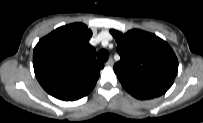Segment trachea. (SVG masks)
I'll use <instances>...</instances> for the list:
<instances>
[{
	"mask_svg": "<svg viewBox=\"0 0 203 123\" xmlns=\"http://www.w3.org/2000/svg\"><path fill=\"white\" fill-rule=\"evenodd\" d=\"M97 58L101 62H106L109 58V53L107 50H100L98 52Z\"/></svg>",
	"mask_w": 203,
	"mask_h": 123,
	"instance_id": "obj_1",
	"label": "trachea"
}]
</instances>
